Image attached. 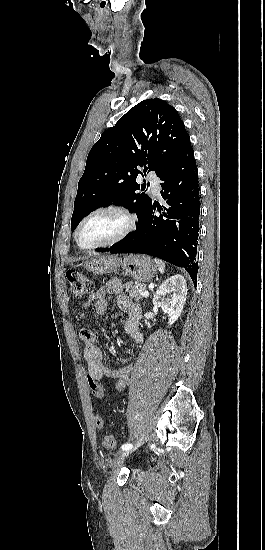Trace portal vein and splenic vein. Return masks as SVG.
Returning <instances> with one entry per match:
<instances>
[{"mask_svg":"<svg viewBox=\"0 0 265 550\" xmlns=\"http://www.w3.org/2000/svg\"><path fill=\"white\" fill-rule=\"evenodd\" d=\"M148 296H149V292H148V291H143V292H142V297L147 298Z\"/></svg>","mask_w":265,"mask_h":550,"instance_id":"1","label":"portal vein and splenic vein"}]
</instances>
